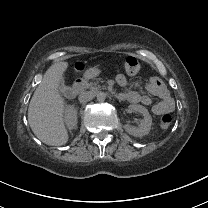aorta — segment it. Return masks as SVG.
<instances>
[{
    "label": "aorta",
    "instance_id": "762f6f07",
    "mask_svg": "<svg viewBox=\"0 0 208 208\" xmlns=\"http://www.w3.org/2000/svg\"><path fill=\"white\" fill-rule=\"evenodd\" d=\"M96 100H97L98 103L103 104V103L106 102L107 97H106L105 94L100 93V94L97 95Z\"/></svg>",
    "mask_w": 208,
    "mask_h": 208
}]
</instances>
